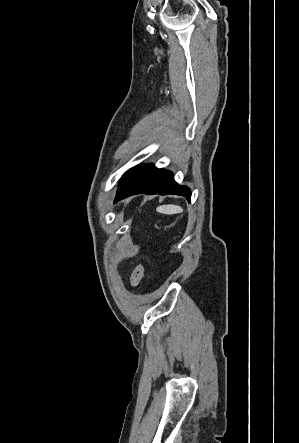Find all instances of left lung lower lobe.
<instances>
[{
  "label": "left lung lower lobe",
  "instance_id": "1",
  "mask_svg": "<svg viewBox=\"0 0 299 443\" xmlns=\"http://www.w3.org/2000/svg\"><path fill=\"white\" fill-rule=\"evenodd\" d=\"M174 194L186 197L190 202L191 192L179 186L169 171L156 168L153 164L138 165L120 181L114 203L135 194Z\"/></svg>",
  "mask_w": 299,
  "mask_h": 443
}]
</instances>
